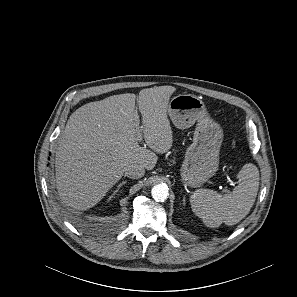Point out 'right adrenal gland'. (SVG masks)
Returning a JSON list of instances; mask_svg holds the SVG:
<instances>
[{
    "instance_id": "2a0ac1e0",
    "label": "right adrenal gland",
    "mask_w": 297,
    "mask_h": 297,
    "mask_svg": "<svg viewBox=\"0 0 297 297\" xmlns=\"http://www.w3.org/2000/svg\"><path fill=\"white\" fill-rule=\"evenodd\" d=\"M127 183V181H122L118 186H117V189L114 191L113 195L109 198L111 199L119 190L120 188L125 185Z\"/></svg>"
}]
</instances>
